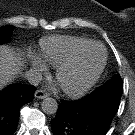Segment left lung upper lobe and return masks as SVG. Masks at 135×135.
Wrapping results in <instances>:
<instances>
[{
    "instance_id": "5c2ea615",
    "label": "left lung upper lobe",
    "mask_w": 135,
    "mask_h": 135,
    "mask_svg": "<svg viewBox=\"0 0 135 135\" xmlns=\"http://www.w3.org/2000/svg\"><path fill=\"white\" fill-rule=\"evenodd\" d=\"M105 84H107V85H119V86H123L122 80L120 78V75L114 76L112 79H110L109 81H107Z\"/></svg>"
}]
</instances>
